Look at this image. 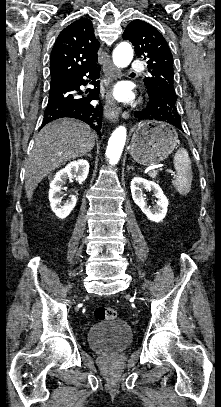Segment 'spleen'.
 <instances>
[{
	"instance_id": "1",
	"label": "spleen",
	"mask_w": 221,
	"mask_h": 407,
	"mask_svg": "<svg viewBox=\"0 0 221 407\" xmlns=\"http://www.w3.org/2000/svg\"><path fill=\"white\" fill-rule=\"evenodd\" d=\"M173 163L177 175L175 179L172 180V184L179 194L187 195L191 190L193 175L190 158L185 148L181 147L178 149L175 153Z\"/></svg>"
}]
</instances>
